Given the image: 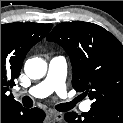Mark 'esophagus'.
Wrapping results in <instances>:
<instances>
[{
  "instance_id": "34e87169",
  "label": "esophagus",
  "mask_w": 123,
  "mask_h": 123,
  "mask_svg": "<svg viewBox=\"0 0 123 123\" xmlns=\"http://www.w3.org/2000/svg\"><path fill=\"white\" fill-rule=\"evenodd\" d=\"M49 115L56 121H61L63 119V114L60 112H50Z\"/></svg>"
}]
</instances>
